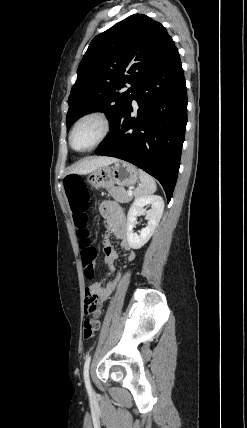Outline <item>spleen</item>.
Segmentation results:
<instances>
[{
  "label": "spleen",
  "instance_id": "3e777b00",
  "mask_svg": "<svg viewBox=\"0 0 247 428\" xmlns=\"http://www.w3.org/2000/svg\"><path fill=\"white\" fill-rule=\"evenodd\" d=\"M139 175H140L141 183L135 189L134 196L141 197V196H147L154 193L157 189L154 179L141 169H139Z\"/></svg>",
  "mask_w": 247,
  "mask_h": 428
}]
</instances>
